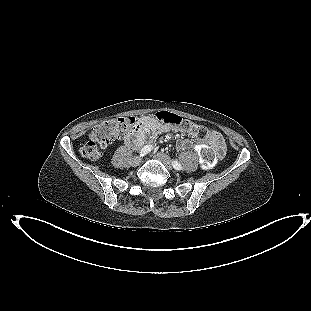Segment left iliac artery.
<instances>
[{"label": "left iliac artery", "instance_id": "obj_1", "mask_svg": "<svg viewBox=\"0 0 311 311\" xmlns=\"http://www.w3.org/2000/svg\"><path fill=\"white\" fill-rule=\"evenodd\" d=\"M172 165H173V167H174L176 170H181V169H182L181 164H180L178 161H176V160L172 161Z\"/></svg>", "mask_w": 311, "mask_h": 311}]
</instances>
